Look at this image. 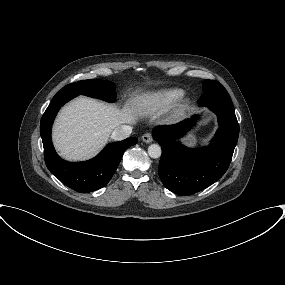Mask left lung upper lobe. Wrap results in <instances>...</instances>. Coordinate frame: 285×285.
<instances>
[{"label": "left lung upper lobe", "mask_w": 285, "mask_h": 285, "mask_svg": "<svg viewBox=\"0 0 285 285\" xmlns=\"http://www.w3.org/2000/svg\"><path fill=\"white\" fill-rule=\"evenodd\" d=\"M199 106L221 105L228 108H234L231 98L223 87L217 81L205 80L203 82V94L198 101Z\"/></svg>", "instance_id": "left-lung-upper-lobe-1"}]
</instances>
